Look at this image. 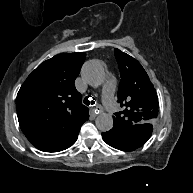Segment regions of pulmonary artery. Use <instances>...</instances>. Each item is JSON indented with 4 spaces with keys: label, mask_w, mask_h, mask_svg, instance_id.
I'll list each match as a JSON object with an SVG mask.
<instances>
[{
    "label": "pulmonary artery",
    "mask_w": 193,
    "mask_h": 193,
    "mask_svg": "<svg viewBox=\"0 0 193 193\" xmlns=\"http://www.w3.org/2000/svg\"><path fill=\"white\" fill-rule=\"evenodd\" d=\"M114 88H115L114 81L110 77H107V79L103 83L102 98H103V101L107 105H109V108H108L109 110H111L112 105H114V100H113Z\"/></svg>",
    "instance_id": "pulmonary-artery-1"
}]
</instances>
